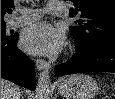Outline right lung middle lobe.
Segmentation results:
<instances>
[{
    "mask_svg": "<svg viewBox=\"0 0 115 99\" xmlns=\"http://www.w3.org/2000/svg\"><path fill=\"white\" fill-rule=\"evenodd\" d=\"M5 28H6V23L2 22L1 23V39H6L10 37L6 35Z\"/></svg>",
    "mask_w": 115,
    "mask_h": 99,
    "instance_id": "1",
    "label": "right lung middle lobe"
}]
</instances>
